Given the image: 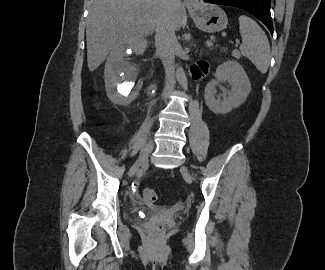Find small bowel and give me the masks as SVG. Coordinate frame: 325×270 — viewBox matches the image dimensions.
Here are the masks:
<instances>
[{
  "mask_svg": "<svg viewBox=\"0 0 325 270\" xmlns=\"http://www.w3.org/2000/svg\"><path fill=\"white\" fill-rule=\"evenodd\" d=\"M208 70V65L205 61L201 60L191 65L190 72L193 78L198 79L203 77Z\"/></svg>",
  "mask_w": 325,
  "mask_h": 270,
  "instance_id": "1",
  "label": "small bowel"
}]
</instances>
